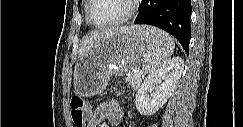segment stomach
<instances>
[{"instance_id": "0dacf381", "label": "stomach", "mask_w": 243, "mask_h": 127, "mask_svg": "<svg viewBox=\"0 0 243 127\" xmlns=\"http://www.w3.org/2000/svg\"><path fill=\"white\" fill-rule=\"evenodd\" d=\"M143 26L118 31L98 40L74 68V89L81 96L104 90L113 74H126L144 62L149 44L141 34Z\"/></svg>"}]
</instances>
